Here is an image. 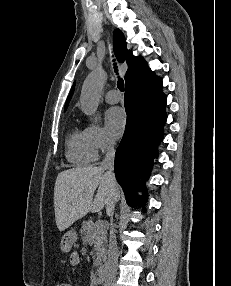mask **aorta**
Listing matches in <instances>:
<instances>
[{
    "mask_svg": "<svg viewBox=\"0 0 231 286\" xmlns=\"http://www.w3.org/2000/svg\"><path fill=\"white\" fill-rule=\"evenodd\" d=\"M106 80V73L102 69L92 71L85 79L80 96V102L83 112L92 116L98 108L100 93L104 82Z\"/></svg>",
    "mask_w": 231,
    "mask_h": 286,
    "instance_id": "obj_1",
    "label": "aorta"
}]
</instances>
